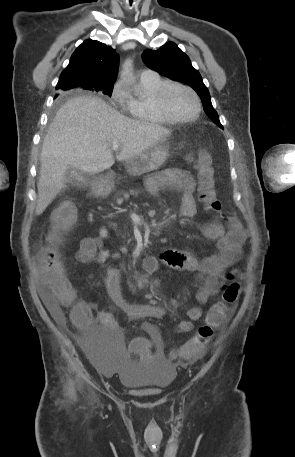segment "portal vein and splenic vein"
<instances>
[{
  "label": "portal vein and splenic vein",
  "instance_id": "portal-vein-and-splenic-vein-1",
  "mask_svg": "<svg viewBox=\"0 0 295 457\" xmlns=\"http://www.w3.org/2000/svg\"><path fill=\"white\" fill-rule=\"evenodd\" d=\"M111 147H112V149H113V150H115V151H116V150H118V149H119V143H118V142H116V141H114V142H112V146H111Z\"/></svg>",
  "mask_w": 295,
  "mask_h": 457
}]
</instances>
